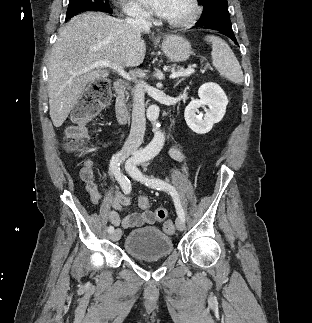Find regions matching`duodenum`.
I'll return each instance as SVG.
<instances>
[{"instance_id":"410a0bca","label":"duodenum","mask_w":312,"mask_h":323,"mask_svg":"<svg viewBox=\"0 0 312 323\" xmlns=\"http://www.w3.org/2000/svg\"><path fill=\"white\" fill-rule=\"evenodd\" d=\"M115 94V115L120 123L126 124L129 118L127 108V94L125 83L122 80H117L113 84Z\"/></svg>"}]
</instances>
